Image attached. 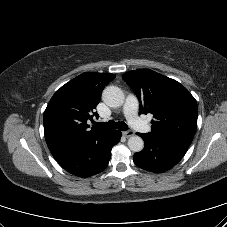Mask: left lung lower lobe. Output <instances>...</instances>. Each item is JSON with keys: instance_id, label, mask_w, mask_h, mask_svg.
<instances>
[{"instance_id": "obj_1", "label": "left lung lower lobe", "mask_w": 227, "mask_h": 227, "mask_svg": "<svg viewBox=\"0 0 227 227\" xmlns=\"http://www.w3.org/2000/svg\"><path fill=\"white\" fill-rule=\"evenodd\" d=\"M144 140V149L135 153L134 163L147 171L162 173L175 166L185 155L189 145L150 134L137 133Z\"/></svg>"}]
</instances>
